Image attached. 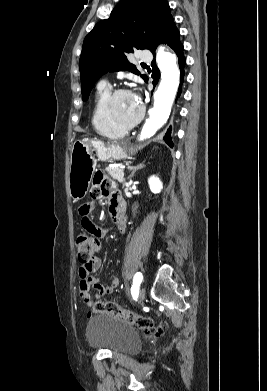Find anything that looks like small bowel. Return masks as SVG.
I'll return each mask as SVG.
<instances>
[{
	"label": "small bowel",
	"instance_id": "1",
	"mask_svg": "<svg viewBox=\"0 0 267 391\" xmlns=\"http://www.w3.org/2000/svg\"><path fill=\"white\" fill-rule=\"evenodd\" d=\"M91 197L106 198L109 201L110 212L114 218L115 223L118 225L121 231L125 230V218L126 208L124 201L118 192L115 183L108 178L103 171H97L92 178ZM93 204L90 202L80 205L78 212L81 217V225L86 234L101 238L107 230L96 225L90 218V214L93 211ZM101 266V260L98 257H94L92 261L79 268V296L85 305L91 306L93 297L92 290H95V298H100L105 295L114 292L118 286L119 280L117 277H113L111 283L103 285L98 278L92 276V273L97 271Z\"/></svg>",
	"mask_w": 267,
	"mask_h": 391
}]
</instances>
